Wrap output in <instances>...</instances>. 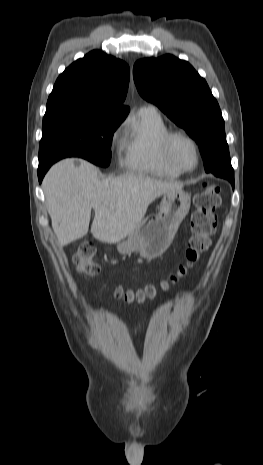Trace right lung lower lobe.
I'll return each mask as SVG.
<instances>
[{
    "label": "right lung lower lobe",
    "instance_id": "1",
    "mask_svg": "<svg viewBox=\"0 0 263 465\" xmlns=\"http://www.w3.org/2000/svg\"><path fill=\"white\" fill-rule=\"evenodd\" d=\"M49 168L47 167H38V178H39V182L41 183L46 171L48 170Z\"/></svg>",
    "mask_w": 263,
    "mask_h": 465
}]
</instances>
